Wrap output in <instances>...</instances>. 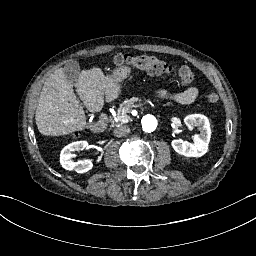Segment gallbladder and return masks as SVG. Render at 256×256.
<instances>
[{
	"label": "gallbladder",
	"instance_id": "bac80fb5",
	"mask_svg": "<svg viewBox=\"0 0 256 256\" xmlns=\"http://www.w3.org/2000/svg\"><path fill=\"white\" fill-rule=\"evenodd\" d=\"M65 76L69 81L73 82V86L75 85L76 80L79 78L80 67L79 63L75 60L69 61L65 67Z\"/></svg>",
	"mask_w": 256,
	"mask_h": 256
}]
</instances>
